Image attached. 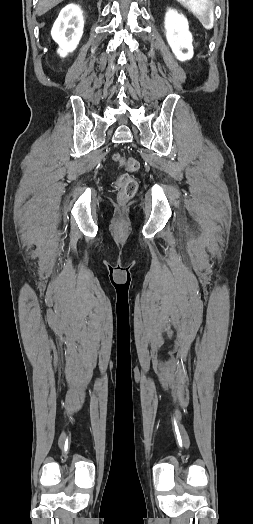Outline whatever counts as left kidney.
<instances>
[{"label": "left kidney", "instance_id": "obj_1", "mask_svg": "<svg viewBox=\"0 0 253 524\" xmlns=\"http://www.w3.org/2000/svg\"><path fill=\"white\" fill-rule=\"evenodd\" d=\"M166 38L174 55L180 61L193 57L192 35L188 21L174 9H168L165 16Z\"/></svg>", "mask_w": 253, "mask_h": 524}]
</instances>
